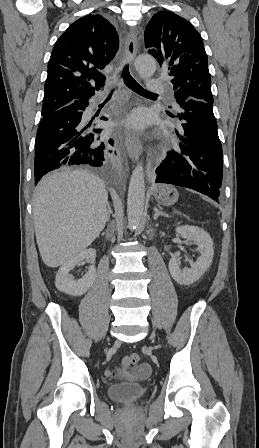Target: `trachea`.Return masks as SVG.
Segmentation results:
<instances>
[{
    "label": "trachea",
    "mask_w": 259,
    "mask_h": 448,
    "mask_svg": "<svg viewBox=\"0 0 259 448\" xmlns=\"http://www.w3.org/2000/svg\"><path fill=\"white\" fill-rule=\"evenodd\" d=\"M121 76L124 80V83L127 85V87L131 88V90H133L134 92L139 93V94H141V93H152L153 94V92H149V90H145V88L141 87V85H139V83H137L136 80H134V78L130 75L128 65H126L123 68Z\"/></svg>",
    "instance_id": "trachea-1"
}]
</instances>
